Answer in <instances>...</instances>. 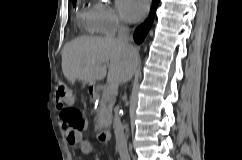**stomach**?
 <instances>
[{
  "instance_id": "1",
  "label": "stomach",
  "mask_w": 242,
  "mask_h": 160,
  "mask_svg": "<svg viewBox=\"0 0 242 160\" xmlns=\"http://www.w3.org/2000/svg\"><path fill=\"white\" fill-rule=\"evenodd\" d=\"M89 86H90V88L95 89V85H94V84H90V83H89Z\"/></svg>"
}]
</instances>
